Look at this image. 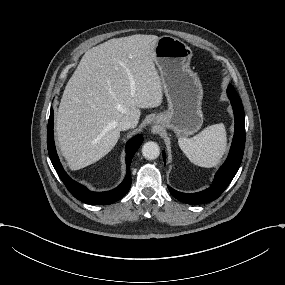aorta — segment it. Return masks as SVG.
<instances>
[{
	"instance_id": "obj_1",
	"label": "aorta",
	"mask_w": 285,
	"mask_h": 285,
	"mask_svg": "<svg viewBox=\"0 0 285 285\" xmlns=\"http://www.w3.org/2000/svg\"><path fill=\"white\" fill-rule=\"evenodd\" d=\"M160 154V148L156 142H146L142 147V155L147 160H154Z\"/></svg>"
}]
</instances>
